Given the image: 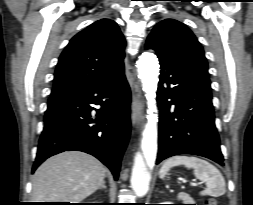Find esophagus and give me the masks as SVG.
I'll use <instances>...</instances> for the list:
<instances>
[{
	"instance_id": "34e87169",
	"label": "esophagus",
	"mask_w": 253,
	"mask_h": 205,
	"mask_svg": "<svg viewBox=\"0 0 253 205\" xmlns=\"http://www.w3.org/2000/svg\"><path fill=\"white\" fill-rule=\"evenodd\" d=\"M132 113H131V121L134 126L141 125L143 122V112H142V100L141 95L134 91L132 98Z\"/></svg>"
}]
</instances>
